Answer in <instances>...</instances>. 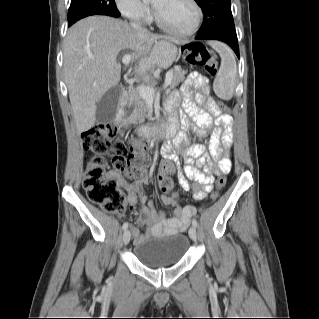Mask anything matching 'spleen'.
<instances>
[{"label": "spleen", "instance_id": "spleen-1", "mask_svg": "<svg viewBox=\"0 0 319 319\" xmlns=\"http://www.w3.org/2000/svg\"><path fill=\"white\" fill-rule=\"evenodd\" d=\"M221 57V65L213 82L215 94L223 100H230L233 97L236 86L237 66L231 49L220 42L209 43Z\"/></svg>", "mask_w": 319, "mask_h": 319}]
</instances>
